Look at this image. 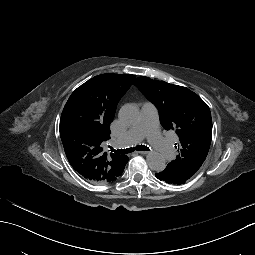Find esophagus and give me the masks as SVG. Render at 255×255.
Here are the masks:
<instances>
[{"instance_id":"esophagus-1","label":"esophagus","mask_w":255,"mask_h":255,"mask_svg":"<svg viewBox=\"0 0 255 255\" xmlns=\"http://www.w3.org/2000/svg\"><path fill=\"white\" fill-rule=\"evenodd\" d=\"M139 154H148L149 151H138Z\"/></svg>"}]
</instances>
